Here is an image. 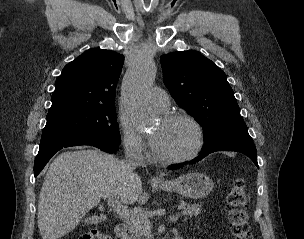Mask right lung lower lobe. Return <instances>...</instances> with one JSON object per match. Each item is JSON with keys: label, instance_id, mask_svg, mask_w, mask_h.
Segmentation results:
<instances>
[{"label": "right lung lower lobe", "instance_id": "98d812e1", "mask_svg": "<svg viewBox=\"0 0 304 239\" xmlns=\"http://www.w3.org/2000/svg\"><path fill=\"white\" fill-rule=\"evenodd\" d=\"M91 145L108 153H114L119 145L104 139L86 136H62L53 138H44L40 141V148L34 164L35 177L41 172L50 158L60 149L77 146Z\"/></svg>", "mask_w": 304, "mask_h": 239}]
</instances>
